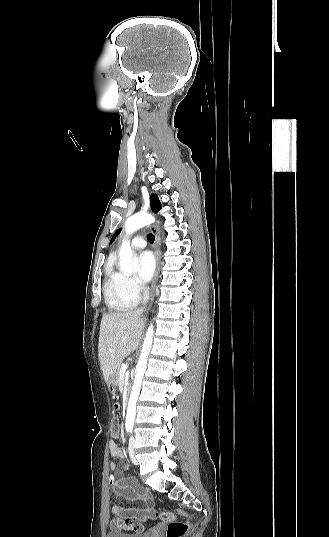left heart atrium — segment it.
Returning <instances> with one entry per match:
<instances>
[{"mask_svg":"<svg viewBox=\"0 0 329 537\" xmlns=\"http://www.w3.org/2000/svg\"><path fill=\"white\" fill-rule=\"evenodd\" d=\"M138 279L142 284H146L151 279L154 269L155 260L151 252L144 251L138 256Z\"/></svg>","mask_w":329,"mask_h":537,"instance_id":"1","label":"left heart atrium"}]
</instances>
